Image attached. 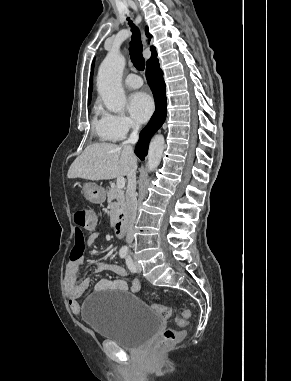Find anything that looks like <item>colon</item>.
Listing matches in <instances>:
<instances>
[{
  "label": "colon",
  "instance_id": "colon-1",
  "mask_svg": "<svg viewBox=\"0 0 291 381\" xmlns=\"http://www.w3.org/2000/svg\"><path fill=\"white\" fill-rule=\"evenodd\" d=\"M73 219L78 227L77 233L80 238L83 237V231L93 230L97 226V218L95 214L87 209L78 208L73 213ZM155 310L162 319H169L172 315V308L155 304ZM190 312L185 311L176 319V324L180 328H184L188 325ZM183 333L176 328H168L164 331L160 341L154 346L153 352H158L165 347L175 345L181 339Z\"/></svg>",
  "mask_w": 291,
  "mask_h": 381
}]
</instances>
